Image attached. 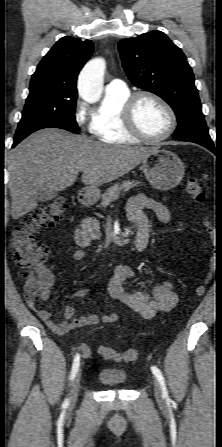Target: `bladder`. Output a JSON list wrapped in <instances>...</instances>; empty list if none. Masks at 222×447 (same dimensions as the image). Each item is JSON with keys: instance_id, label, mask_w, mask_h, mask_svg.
Returning <instances> with one entry per match:
<instances>
[{"instance_id": "bladder-1", "label": "bladder", "mask_w": 222, "mask_h": 447, "mask_svg": "<svg viewBox=\"0 0 222 447\" xmlns=\"http://www.w3.org/2000/svg\"><path fill=\"white\" fill-rule=\"evenodd\" d=\"M98 381L108 387L124 385L127 374L124 370L102 369L97 375Z\"/></svg>"}]
</instances>
